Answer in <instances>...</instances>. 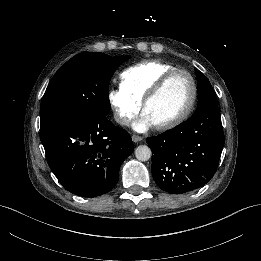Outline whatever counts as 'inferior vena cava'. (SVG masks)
Returning a JSON list of instances; mask_svg holds the SVG:
<instances>
[{"mask_svg": "<svg viewBox=\"0 0 261 261\" xmlns=\"http://www.w3.org/2000/svg\"><path fill=\"white\" fill-rule=\"evenodd\" d=\"M118 122L121 123V124H124L125 123V119L124 118L118 119Z\"/></svg>", "mask_w": 261, "mask_h": 261, "instance_id": "1", "label": "inferior vena cava"}]
</instances>
